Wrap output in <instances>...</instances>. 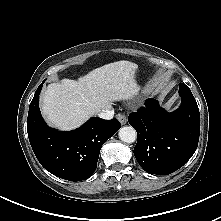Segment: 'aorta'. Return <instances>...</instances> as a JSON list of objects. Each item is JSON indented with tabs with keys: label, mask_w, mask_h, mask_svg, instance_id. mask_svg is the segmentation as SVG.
<instances>
[{
	"label": "aorta",
	"mask_w": 221,
	"mask_h": 221,
	"mask_svg": "<svg viewBox=\"0 0 221 221\" xmlns=\"http://www.w3.org/2000/svg\"><path fill=\"white\" fill-rule=\"evenodd\" d=\"M118 135L125 143H133L137 137L136 130L132 126H124L120 128Z\"/></svg>",
	"instance_id": "762f6f07"
}]
</instances>
